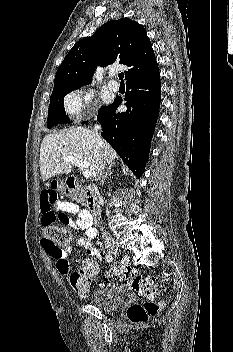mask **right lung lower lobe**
Segmentation results:
<instances>
[{
	"label": "right lung lower lobe",
	"instance_id": "1",
	"mask_svg": "<svg viewBox=\"0 0 233 352\" xmlns=\"http://www.w3.org/2000/svg\"><path fill=\"white\" fill-rule=\"evenodd\" d=\"M126 85L124 100L127 111L115 112L122 102V98L117 97L111 105L100 109L98 121L102 125V137L109 142L134 175L141 177L159 114V70L157 68L145 76L129 80Z\"/></svg>",
	"mask_w": 233,
	"mask_h": 352
}]
</instances>
